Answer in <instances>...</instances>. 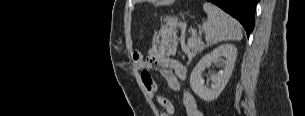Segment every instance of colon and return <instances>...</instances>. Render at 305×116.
Here are the masks:
<instances>
[{
    "instance_id": "5ec220e1",
    "label": "colon",
    "mask_w": 305,
    "mask_h": 116,
    "mask_svg": "<svg viewBox=\"0 0 305 116\" xmlns=\"http://www.w3.org/2000/svg\"><path fill=\"white\" fill-rule=\"evenodd\" d=\"M143 76L146 78V79H149L150 78V75L148 72H144Z\"/></svg>"
}]
</instances>
